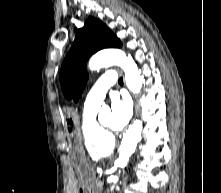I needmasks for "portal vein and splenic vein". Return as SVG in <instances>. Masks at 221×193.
Returning <instances> with one entry per match:
<instances>
[{
	"label": "portal vein and splenic vein",
	"instance_id": "portal-vein-and-splenic-vein-1",
	"mask_svg": "<svg viewBox=\"0 0 221 193\" xmlns=\"http://www.w3.org/2000/svg\"><path fill=\"white\" fill-rule=\"evenodd\" d=\"M99 185L102 187V185H103L102 181H99Z\"/></svg>",
	"mask_w": 221,
	"mask_h": 193
}]
</instances>
